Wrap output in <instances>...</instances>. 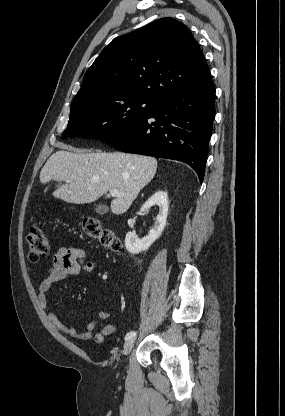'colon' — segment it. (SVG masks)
<instances>
[{
  "label": "colon",
  "mask_w": 285,
  "mask_h": 416,
  "mask_svg": "<svg viewBox=\"0 0 285 416\" xmlns=\"http://www.w3.org/2000/svg\"><path fill=\"white\" fill-rule=\"evenodd\" d=\"M82 229L86 236L96 240L102 247L117 251L120 249V241L115 233L108 228H103L96 218H85L82 221ZM28 259L37 262L49 254V241L40 227H31L27 233Z\"/></svg>",
  "instance_id": "obj_1"
}]
</instances>
